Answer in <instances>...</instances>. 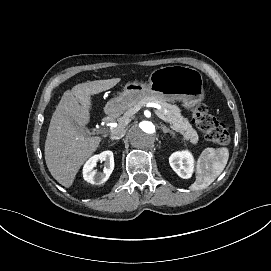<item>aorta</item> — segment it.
I'll return each mask as SVG.
<instances>
[{
    "label": "aorta",
    "mask_w": 271,
    "mask_h": 271,
    "mask_svg": "<svg viewBox=\"0 0 271 271\" xmlns=\"http://www.w3.org/2000/svg\"><path fill=\"white\" fill-rule=\"evenodd\" d=\"M157 138V125L152 121L143 120L135 123L128 132L132 147L140 150H150Z\"/></svg>",
    "instance_id": "1"
}]
</instances>
